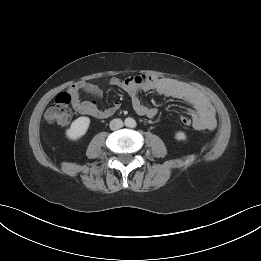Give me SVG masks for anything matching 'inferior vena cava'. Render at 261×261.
I'll list each match as a JSON object with an SVG mask.
<instances>
[{
    "label": "inferior vena cava",
    "mask_w": 261,
    "mask_h": 261,
    "mask_svg": "<svg viewBox=\"0 0 261 261\" xmlns=\"http://www.w3.org/2000/svg\"><path fill=\"white\" fill-rule=\"evenodd\" d=\"M109 127L111 130H117L123 127V121L121 119H113L110 121Z\"/></svg>",
    "instance_id": "obj_1"
}]
</instances>
